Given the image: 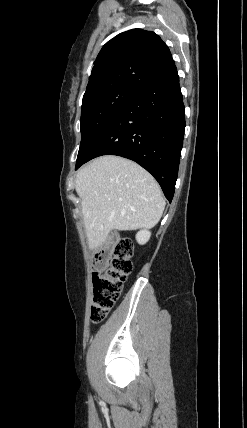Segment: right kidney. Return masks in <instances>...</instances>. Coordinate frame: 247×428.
Here are the masks:
<instances>
[{
    "label": "right kidney",
    "mask_w": 247,
    "mask_h": 428,
    "mask_svg": "<svg viewBox=\"0 0 247 428\" xmlns=\"http://www.w3.org/2000/svg\"><path fill=\"white\" fill-rule=\"evenodd\" d=\"M150 236L151 233L149 231L143 230L137 233L136 240L139 244L143 245L149 241Z\"/></svg>",
    "instance_id": "ca27d5eb"
}]
</instances>
